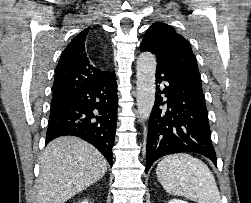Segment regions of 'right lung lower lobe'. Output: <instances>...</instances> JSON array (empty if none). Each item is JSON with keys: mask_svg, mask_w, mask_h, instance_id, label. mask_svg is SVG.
Returning a JSON list of instances; mask_svg holds the SVG:
<instances>
[{"mask_svg": "<svg viewBox=\"0 0 251 203\" xmlns=\"http://www.w3.org/2000/svg\"><path fill=\"white\" fill-rule=\"evenodd\" d=\"M115 73L88 83L51 103L46 144L64 135L78 136L95 146L112 165V147L117 121Z\"/></svg>", "mask_w": 251, "mask_h": 203, "instance_id": "obj_1", "label": "right lung lower lobe"}]
</instances>
